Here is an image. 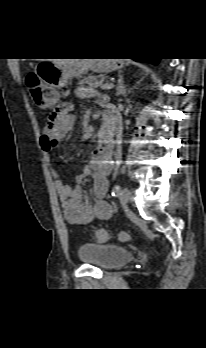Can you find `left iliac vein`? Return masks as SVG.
Returning <instances> with one entry per match:
<instances>
[{"label":"left iliac vein","instance_id":"4c4485c4","mask_svg":"<svg viewBox=\"0 0 206 348\" xmlns=\"http://www.w3.org/2000/svg\"><path fill=\"white\" fill-rule=\"evenodd\" d=\"M131 196H132L131 191L128 188H123L119 196L121 204L122 205L128 204L131 200Z\"/></svg>","mask_w":206,"mask_h":348}]
</instances>
